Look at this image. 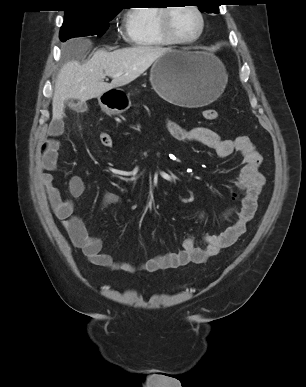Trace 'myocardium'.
<instances>
[{
    "label": "myocardium",
    "instance_id": "obj_1",
    "mask_svg": "<svg viewBox=\"0 0 306 387\" xmlns=\"http://www.w3.org/2000/svg\"><path fill=\"white\" fill-rule=\"evenodd\" d=\"M187 7L191 8L196 12V14L199 17L200 20V27L198 33L189 39H183L178 37L171 25V15L173 10L176 8L175 6H166L161 9L160 16H159V26H160V31L163 35V37L170 42L171 44H179V45H188V44H193L197 42L201 36L204 33L205 30V17L202 12V10L197 6L193 4L186 5Z\"/></svg>",
    "mask_w": 306,
    "mask_h": 387
}]
</instances>
